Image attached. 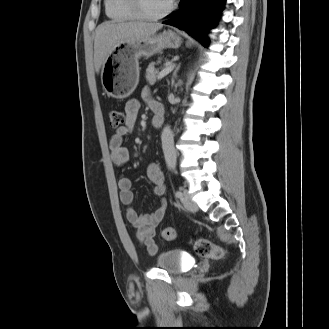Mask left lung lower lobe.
Wrapping results in <instances>:
<instances>
[{
  "mask_svg": "<svg viewBox=\"0 0 329 329\" xmlns=\"http://www.w3.org/2000/svg\"><path fill=\"white\" fill-rule=\"evenodd\" d=\"M224 4L225 0H181L180 9L163 24L185 30L207 47L209 41L206 33L214 28Z\"/></svg>",
  "mask_w": 329,
  "mask_h": 329,
  "instance_id": "left-lung-lower-lobe-1",
  "label": "left lung lower lobe"
}]
</instances>
